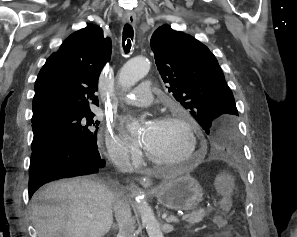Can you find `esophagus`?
<instances>
[{
    "instance_id": "1",
    "label": "esophagus",
    "mask_w": 297,
    "mask_h": 237,
    "mask_svg": "<svg viewBox=\"0 0 297 237\" xmlns=\"http://www.w3.org/2000/svg\"><path fill=\"white\" fill-rule=\"evenodd\" d=\"M123 21L129 23L130 25H134L136 21V16L133 13H128L123 17ZM140 184L144 188H149L152 185V180L148 176L141 177Z\"/></svg>"
}]
</instances>
